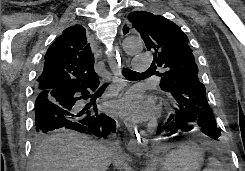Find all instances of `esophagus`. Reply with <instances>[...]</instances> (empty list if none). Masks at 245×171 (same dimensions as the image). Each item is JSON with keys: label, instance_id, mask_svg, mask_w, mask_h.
<instances>
[{"label": "esophagus", "instance_id": "esophagus-1", "mask_svg": "<svg viewBox=\"0 0 245 171\" xmlns=\"http://www.w3.org/2000/svg\"><path fill=\"white\" fill-rule=\"evenodd\" d=\"M108 63L113 73V80L117 85L118 90H122L125 85L126 81L123 79L121 74V59L116 58L115 55H108ZM126 127L134 140L129 143L128 149L133 152H139V147H146L148 144V138L146 132L144 130H139L137 126L126 122Z\"/></svg>", "mask_w": 245, "mask_h": 171}]
</instances>
